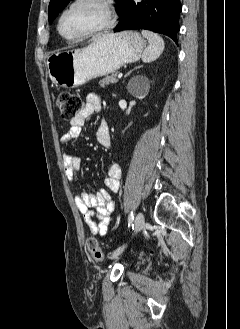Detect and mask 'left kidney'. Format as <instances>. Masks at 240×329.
<instances>
[{
  "label": "left kidney",
  "instance_id": "5707ae66",
  "mask_svg": "<svg viewBox=\"0 0 240 329\" xmlns=\"http://www.w3.org/2000/svg\"><path fill=\"white\" fill-rule=\"evenodd\" d=\"M136 85L141 88H135ZM128 90L135 97L143 99L149 90V80L144 76H136L129 82Z\"/></svg>",
  "mask_w": 240,
  "mask_h": 329
}]
</instances>
